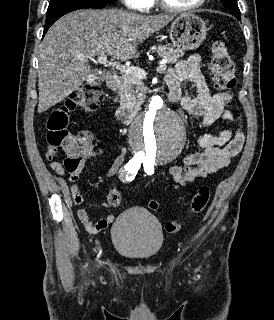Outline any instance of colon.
Returning <instances> with one entry per match:
<instances>
[{"mask_svg": "<svg viewBox=\"0 0 274 320\" xmlns=\"http://www.w3.org/2000/svg\"><path fill=\"white\" fill-rule=\"evenodd\" d=\"M210 73L222 91H229L235 83V66L228 48L221 41L214 43L211 49ZM99 90L95 85H89L73 93L66 104L54 108L47 119V149L62 148L68 156L63 161L64 169L68 174H75L82 168V159L93 149V135L89 131L71 132L68 128L72 112L77 109L93 112L98 106ZM114 192L108 195L112 207L121 205V196ZM210 190L207 186L200 187L190 202V210L197 214L203 211L209 201ZM147 207L151 210H160L156 200H149ZM168 233H177L180 223L169 220L165 224Z\"/></svg>", "mask_w": 274, "mask_h": 320, "instance_id": "5ec220e1", "label": "colon"}]
</instances>
